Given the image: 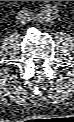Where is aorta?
<instances>
[{"label":"aorta","instance_id":"762f6f07","mask_svg":"<svg viewBox=\"0 0 74 122\" xmlns=\"http://www.w3.org/2000/svg\"><path fill=\"white\" fill-rule=\"evenodd\" d=\"M46 17H47L48 19L52 18V16H51L49 13L46 14Z\"/></svg>","mask_w":74,"mask_h":122}]
</instances>
